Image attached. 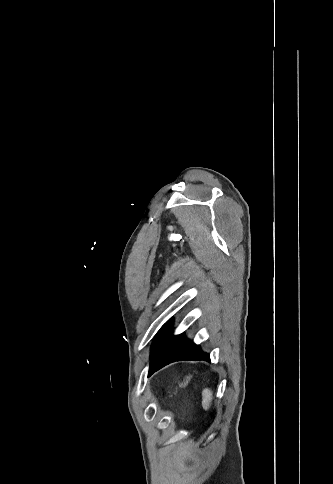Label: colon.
<instances>
[{
  "instance_id": "5ec220e1",
  "label": "colon",
  "mask_w": 333,
  "mask_h": 484,
  "mask_svg": "<svg viewBox=\"0 0 333 484\" xmlns=\"http://www.w3.org/2000/svg\"><path fill=\"white\" fill-rule=\"evenodd\" d=\"M192 376L191 374H187L185 375V377L183 378L182 382H181V388L184 390L187 388L190 380H191Z\"/></svg>"
}]
</instances>
